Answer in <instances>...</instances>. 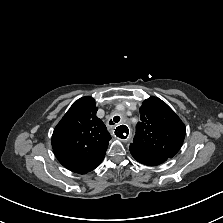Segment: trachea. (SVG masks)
I'll return each mask as SVG.
<instances>
[{
    "instance_id": "obj_1",
    "label": "trachea",
    "mask_w": 223,
    "mask_h": 223,
    "mask_svg": "<svg viewBox=\"0 0 223 223\" xmlns=\"http://www.w3.org/2000/svg\"><path fill=\"white\" fill-rule=\"evenodd\" d=\"M120 121V117L119 116H115L114 118H113V120H110L109 121V124L110 125H113L114 123H118Z\"/></svg>"
}]
</instances>
